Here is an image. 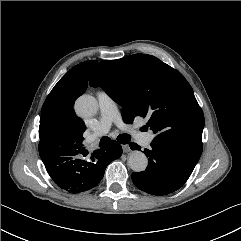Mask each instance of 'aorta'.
<instances>
[{"instance_id":"762f6f07","label":"aorta","mask_w":241,"mask_h":241,"mask_svg":"<svg viewBox=\"0 0 241 241\" xmlns=\"http://www.w3.org/2000/svg\"><path fill=\"white\" fill-rule=\"evenodd\" d=\"M76 113L81 117H91L98 111L97 100L87 94L81 95L75 102ZM148 165L146 155L140 151H133L128 157V166L134 172H143Z\"/></svg>"}]
</instances>
